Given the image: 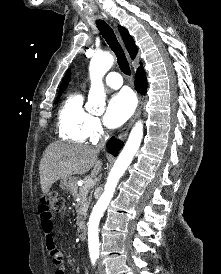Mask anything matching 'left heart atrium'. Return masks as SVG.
<instances>
[{
	"label": "left heart atrium",
	"mask_w": 221,
	"mask_h": 274,
	"mask_svg": "<svg viewBox=\"0 0 221 274\" xmlns=\"http://www.w3.org/2000/svg\"><path fill=\"white\" fill-rule=\"evenodd\" d=\"M136 105L133 94L121 91L108 102L104 115V122L109 128H116L125 123L134 112Z\"/></svg>",
	"instance_id": "1"
}]
</instances>
